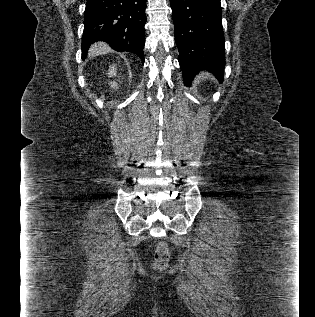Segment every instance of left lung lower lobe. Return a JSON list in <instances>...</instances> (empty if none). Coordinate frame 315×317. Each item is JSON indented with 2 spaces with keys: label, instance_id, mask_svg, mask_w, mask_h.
<instances>
[{
  "label": "left lung lower lobe",
  "instance_id": "left-lung-lower-lobe-1",
  "mask_svg": "<svg viewBox=\"0 0 315 317\" xmlns=\"http://www.w3.org/2000/svg\"><path fill=\"white\" fill-rule=\"evenodd\" d=\"M179 50V64L186 85L201 70L223 81L225 39L220 0H170Z\"/></svg>",
  "mask_w": 315,
  "mask_h": 317
}]
</instances>
